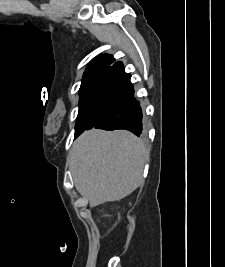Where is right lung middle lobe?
Segmentation results:
<instances>
[{"label": "right lung middle lobe", "instance_id": "right-lung-middle-lobe-1", "mask_svg": "<svg viewBox=\"0 0 225 267\" xmlns=\"http://www.w3.org/2000/svg\"><path fill=\"white\" fill-rule=\"evenodd\" d=\"M95 82V80H84L82 81L80 90H79V95H80V105H79V109L81 107V104L90 88V86Z\"/></svg>", "mask_w": 225, "mask_h": 267}]
</instances>
